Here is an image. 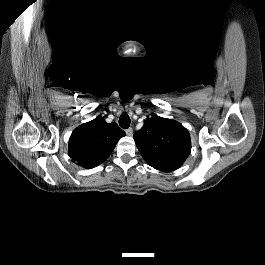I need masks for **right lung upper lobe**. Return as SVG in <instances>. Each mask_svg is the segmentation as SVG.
Returning <instances> with one entry per match:
<instances>
[{
  "label": "right lung upper lobe",
  "instance_id": "cb5924a9",
  "mask_svg": "<svg viewBox=\"0 0 265 265\" xmlns=\"http://www.w3.org/2000/svg\"><path fill=\"white\" fill-rule=\"evenodd\" d=\"M125 136L116 123L96 118L77 127L69 140L68 154L72 161L84 168H93L104 162Z\"/></svg>",
  "mask_w": 265,
  "mask_h": 265
}]
</instances>
